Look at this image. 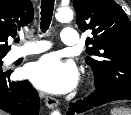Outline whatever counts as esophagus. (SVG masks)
Returning a JSON list of instances; mask_svg holds the SVG:
<instances>
[{
    "instance_id": "1",
    "label": "esophagus",
    "mask_w": 131,
    "mask_h": 115,
    "mask_svg": "<svg viewBox=\"0 0 131 115\" xmlns=\"http://www.w3.org/2000/svg\"><path fill=\"white\" fill-rule=\"evenodd\" d=\"M45 104L48 108L53 109L58 106V100L51 97V96H46L45 97Z\"/></svg>"
}]
</instances>
